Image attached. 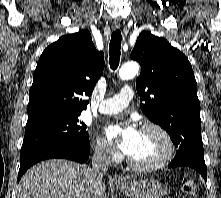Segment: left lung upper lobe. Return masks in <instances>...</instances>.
I'll return each mask as SVG.
<instances>
[{"label":"left lung upper lobe","instance_id":"obj_1","mask_svg":"<svg viewBox=\"0 0 221 198\" xmlns=\"http://www.w3.org/2000/svg\"><path fill=\"white\" fill-rule=\"evenodd\" d=\"M141 65L136 81L143 113L170 135L178 152H203L197 83L188 58L169 42L143 31L131 52Z\"/></svg>","mask_w":221,"mask_h":198}]
</instances>
